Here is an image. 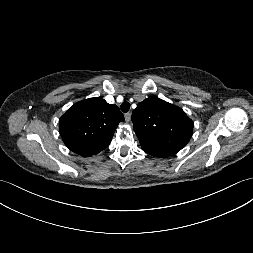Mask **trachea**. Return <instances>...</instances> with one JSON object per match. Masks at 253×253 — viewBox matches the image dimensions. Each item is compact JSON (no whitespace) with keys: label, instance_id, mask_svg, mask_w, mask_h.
Masks as SVG:
<instances>
[{"label":"trachea","instance_id":"obj_1","mask_svg":"<svg viewBox=\"0 0 253 253\" xmlns=\"http://www.w3.org/2000/svg\"><path fill=\"white\" fill-rule=\"evenodd\" d=\"M120 109H121V111L124 112V113L128 112L129 109H130V103L127 102V101L123 102V103L121 104V106H120Z\"/></svg>","mask_w":253,"mask_h":253}]
</instances>
